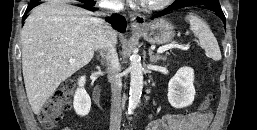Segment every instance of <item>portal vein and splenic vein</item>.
I'll use <instances>...</instances> for the list:
<instances>
[{"mask_svg": "<svg viewBox=\"0 0 257 130\" xmlns=\"http://www.w3.org/2000/svg\"><path fill=\"white\" fill-rule=\"evenodd\" d=\"M175 47H176L175 45L166 46V47H163V48L158 49V50H157V53H163V52H165V51H167V50H169V49L175 48ZM69 62H70V63H73V62H75V59L71 58V59L69 60Z\"/></svg>", "mask_w": 257, "mask_h": 130, "instance_id": "1", "label": "portal vein and splenic vein"}]
</instances>
